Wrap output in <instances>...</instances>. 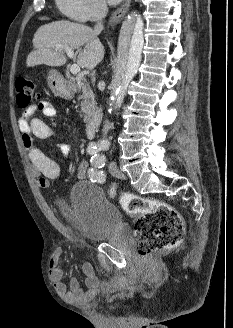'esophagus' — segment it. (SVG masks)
<instances>
[{"instance_id":"obj_1","label":"esophagus","mask_w":233,"mask_h":328,"mask_svg":"<svg viewBox=\"0 0 233 328\" xmlns=\"http://www.w3.org/2000/svg\"><path fill=\"white\" fill-rule=\"evenodd\" d=\"M130 4L131 0H124L123 4L112 13L108 21V27L114 29L118 25L128 11Z\"/></svg>"}]
</instances>
